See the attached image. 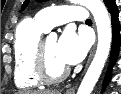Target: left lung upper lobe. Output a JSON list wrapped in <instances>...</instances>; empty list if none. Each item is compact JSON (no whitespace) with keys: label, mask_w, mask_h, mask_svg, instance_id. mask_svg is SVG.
Wrapping results in <instances>:
<instances>
[{"label":"left lung upper lobe","mask_w":121,"mask_h":94,"mask_svg":"<svg viewBox=\"0 0 121 94\" xmlns=\"http://www.w3.org/2000/svg\"><path fill=\"white\" fill-rule=\"evenodd\" d=\"M38 2H43V1H46V0H37ZM29 3V0H26L24 2V4L22 5V9H24ZM104 3L106 5V7H109L111 6L113 3H115V0H104Z\"/></svg>","instance_id":"obj_1"}]
</instances>
